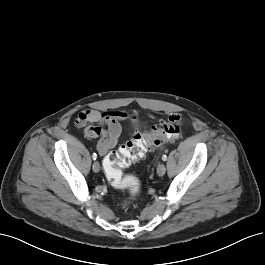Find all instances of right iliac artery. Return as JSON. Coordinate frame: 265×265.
I'll list each match as a JSON object with an SVG mask.
<instances>
[{
    "label": "right iliac artery",
    "mask_w": 265,
    "mask_h": 265,
    "mask_svg": "<svg viewBox=\"0 0 265 265\" xmlns=\"http://www.w3.org/2000/svg\"><path fill=\"white\" fill-rule=\"evenodd\" d=\"M92 158H93L94 160L97 159V155H96V153H94V154L92 155Z\"/></svg>",
    "instance_id": "obj_1"
}]
</instances>
